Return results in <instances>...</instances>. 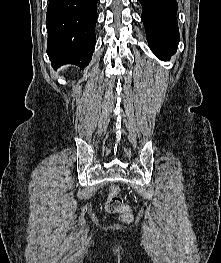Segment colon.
Segmentation results:
<instances>
[{
    "mask_svg": "<svg viewBox=\"0 0 221 263\" xmlns=\"http://www.w3.org/2000/svg\"><path fill=\"white\" fill-rule=\"evenodd\" d=\"M105 208L109 213L118 214L126 222L131 221L132 212L129 206L123 203L120 196V187L112 185L109 187Z\"/></svg>",
    "mask_w": 221,
    "mask_h": 263,
    "instance_id": "obj_1",
    "label": "colon"
}]
</instances>
